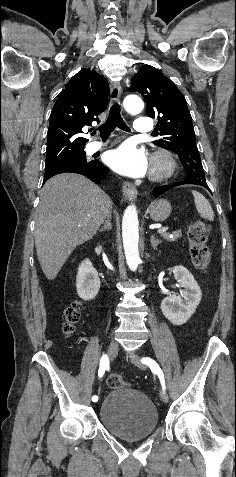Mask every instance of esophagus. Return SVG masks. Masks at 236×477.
I'll list each match as a JSON object with an SVG mask.
<instances>
[{
    "instance_id": "obj_1",
    "label": "esophagus",
    "mask_w": 236,
    "mask_h": 477,
    "mask_svg": "<svg viewBox=\"0 0 236 477\" xmlns=\"http://www.w3.org/2000/svg\"><path fill=\"white\" fill-rule=\"evenodd\" d=\"M121 95V85L119 82H112L110 89V100L111 103H116L119 101ZM123 196L126 200L132 201L137 198L138 191L136 187L130 182H124L122 186Z\"/></svg>"
}]
</instances>
